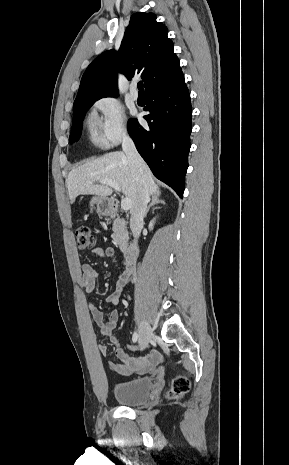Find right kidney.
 <instances>
[{"label": "right kidney", "mask_w": 289, "mask_h": 465, "mask_svg": "<svg viewBox=\"0 0 289 465\" xmlns=\"http://www.w3.org/2000/svg\"><path fill=\"white\" fill-rule=\"evenodd\" d=\"M154 223H155V218H154V219H152V220L150 221V223H149V229H150V230H152V229H153V225H154Z\"/></svg>", "instance_id": "ca27d5eb"}]
</instances>
